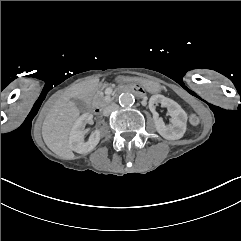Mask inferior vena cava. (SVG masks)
I'll return each instance as SVG.
<instances>
[{
	"label": "inferior vena cava",
	"mask_w": 241,
	"mask_h": 241,
	"mask_svg": "<svg viewBox=\"0 0 241 241\" xmlns=\"http://www.w3.org/2000/svg\"><path fill=\"white\" fill-rule=\"evenodd\" d=\"M118 105L111 104L103 109V115L109 116L112 112L116 111L118 109Z\"/></svg>",
	"instance_id": "1"
}]
</instances>
